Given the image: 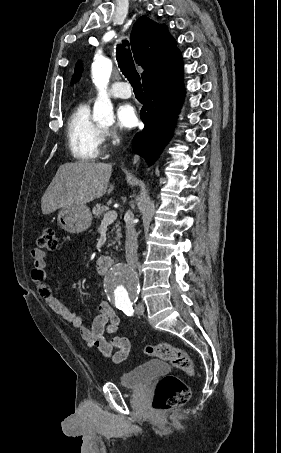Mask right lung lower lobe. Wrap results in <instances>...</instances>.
Instances as JSON below:
<instances>
[{"label": "right lung lower lobe", "mask_w": 281, "mask_h": 453, "mask_svg": "<svg viewBox=\"0 0 281 453\" xmlns=\"http://www.w3.org/2000/svg\"><path fill=\"white\" fill-rule=\"evenodd\" d=\"M183 65L180 52L143 79L145 102L140 116L145 128L137 133L133 151L154 163L172 136L175 118L184 97Z\"/></svg>", "instance_id": "98d812e1"}]
</instances>
